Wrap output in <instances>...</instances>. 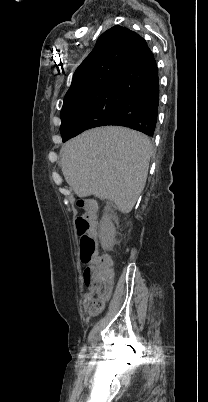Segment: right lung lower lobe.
<instances>
[{"mask_svg":"<svg viewBox=\"0 0 208 402\" xmlns=\"http://www.w3.org/2000/svg\"><path fill=\"white\" fill-rule=\"evenodd\" d=\"M113 83L120 96L118 108L108 114L61 123L63 141L84 130L105 125L129 127L153 136L158 119L159 80L156 61L146 42Z\"/></svg>","mask_w":208,"mask_h":402,"instance_id":"right-lung-lower-lobe-1","label":"right lung lower lobe"}]
</instances>
